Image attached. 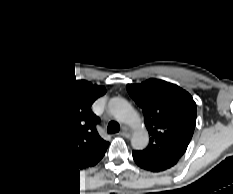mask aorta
I'll return each mask as SVG.
<instances>
[{
    "instance_id": "762f6f07",
    "label": "aorta",
    "mask_w": 233,
    "mask_h": 194,
    "mask_svg": "<svg viewBox=\"0 0 233 194\" xmlns=\"http://www.w3.org/2000/svg\"><path fill=\"white\" fill-rule=\"evenodd\" d=\"M110 108L123 123L129 125L134 130L131 140L133 148L143 149L148 143V132L142 126L137 112L122 98L113 99L110 102Z\"/></svg>"
}]
</instances>
